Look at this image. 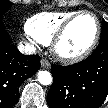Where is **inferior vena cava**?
Instances as JSON below:
<instances>
[{"mask_svg":"<svg viewBox=\"0 0 108 108\" xmlns=\"http://www.w3.org/2000/svg\"><path fill=\"white\" fill-rule=\"evenodd\" d=\"M18 50L25 55H31L33 53H35L36 48L29 43H25L23 44L22 42L19 43L18 45Z\"/></svg>","mask_w":108,"mask_h":108,"instance_id":"obj_1","label":"inferior vena cava"}]
</instances>
